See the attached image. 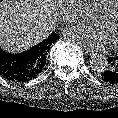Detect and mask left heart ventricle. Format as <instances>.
Here are the masks:
<instances>
[{
	"label": "left heart ventricle",
	"instance_id": "b2bd125f",
	"mask_svg": "<svg viewBox=\"0 0 118 118\" xmlns=\"http://www.w3.org/2000/svg\"><path fill=\"white\" fill-rule=\"evenodd\" d=\"M93 21L104 28L113 45L118 44V7L109 15L99 12Z\"/></svg>",
	"mask_w": 118,
	"mask_h": 118
}]
</instances>
